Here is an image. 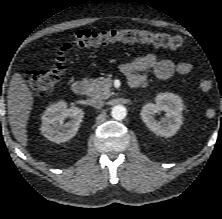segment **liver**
I'll return each instance as SVG.
<instances>
[{
  "mask_svg": "<svg viewBox=\"0 0 222 219\" xmlns=\"http://www.w3.org/2000/svg\"><path fill=\"white\" fill-rule=\"evenodd\" d=\"M33 96L20 73H14L8 90V120L15 139L27 146V123Z\"/></svg>",
  "mask_w": 222,
  "mask_h": 219,
  "instance_id": "obj_1",
  "label": "liver"
}]
</instances>
